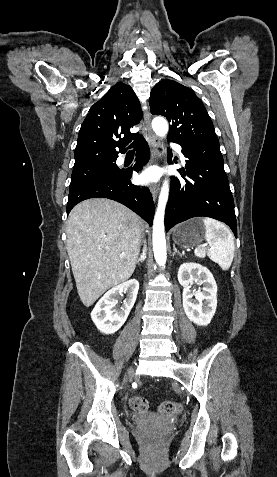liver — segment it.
I'll use <instances>...</instances> for the list:
<instances>
[{
    "label": "liver",
    "instance_id": "6515ba94",
    "mask_svg": "<svg viewBox=\"0 0 277 477\" xmlns=\"http://www.w3.org/2000/svg\"><path fill=\"white\" fill-rule=\"evenodd\" d=\"M144 228L137 214L106 198L85 200L71 210L66 248L84 306L132 276Z\"/></svg>",
    "mask_w": 277,
    "mask_h": 477
}]
</instances>
